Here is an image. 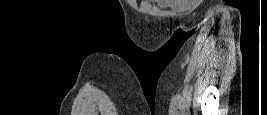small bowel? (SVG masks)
I'll use <instances>...</instances> for the list:
<instances>
[{
    "label": "small bowel",
    "instance_id": "small-bowel-1",
    "mask_svg": "<svg viewBox=\"0 0 267 115\" xmlns=\"http://www.w3.org/2000/svg\"><path fill=\"white\" fill-rule=\"evenodd\" d=\"M159 6L173 9H190L198 4L197 0H157Z\"/></svg>",
    "mask_w": 267,
    "mask_h": 115
}]
</instances>
